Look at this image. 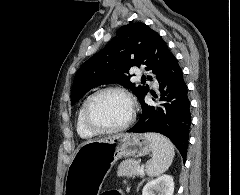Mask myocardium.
Wrapping results in <instances>:
<instances>
[{
	"label": "myocardium",
	"instance_id": "f54148a6",
	"mask_svg": "<svg viewBox=\"0 0 240 195\" xmlns=\"http://www.w3.org/2000/svg\"><path fill=\"white\" fill-rule=\"evenodd\" d=\"M108 93H117L121 94L124 97H126L131 105V115L129 119L122 125L117 126V127H101L97 125L91 115V110L94 105V103L103 95L108 94ZM137 115V109H136V104L135 101L132 97V95L126 91L125 89L119 88V87H108L101 89L97 91L95 94H93L89 100L86 103L85 109H84V122L85 125L89 130H91L95 134H116L120 133L123 131H126L128 128L131 127V125L134 123Z\"/></svg>",
	"mask_w": 240,
	"mask_h": 195
}]
</instances>
